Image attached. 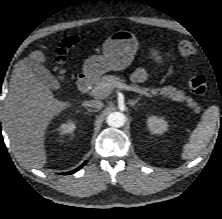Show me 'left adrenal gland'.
<instances>
[{"instance_id":"left-adrenal-gland-1","label":"left adrenal gland","mask_w":222,"mask_h":219,"mask_svg":"<svg viewBox=\"0 0 222 219\" xmlns=\"http://www.w3.org/2000/svg\"><path fill=\"white\" fill-rule=\"evenodd\" d=\"M140 100V97H138L137 99L135 100H129V105L134 107Z\"/></svg>"}]
</instances>
